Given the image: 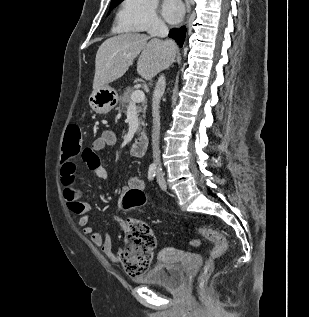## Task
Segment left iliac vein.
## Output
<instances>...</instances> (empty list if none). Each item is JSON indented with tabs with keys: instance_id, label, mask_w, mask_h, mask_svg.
<instances>
[{
	"instance_id": "1",
	"label": "left iliac vein",
	"mask_w": 309,
	"mask_h": 317,
	"mask_svg": "<svg viewBox=\"0 0 309 317\" xmlns=\"http://www.w3.org/2000/svg\"><path fill=\"white\" fill-rule=\"evenodd\" d=\"M157 182H158L159 186H160L163 190H166V189H167V185H166L165 178H164V176H163L161 173H159V174L157 175Z\"/></svg>"
}]
</instances>
